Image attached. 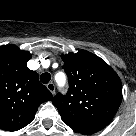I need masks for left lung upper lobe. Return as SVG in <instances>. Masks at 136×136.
Masks as SVG:
<instances>
[{
	"mask_svg": "<svg viewBox=\"0 0 136 136\" xmlns=\"http://www.w3.org/2000/svg\"><path fill=\"white\" fill-rule=\"evenodd\" d=\"M62 60L70 88L52 100L62 120L75 131L103 128L121 104L120 78L104 60L86 50L62 55Z\"/></svg>",
	"mask_w": 136,
	"mask_h": 136,
	"instance_id": "obj_1",
	"label": "left lung upper lobe"
}]
</instances>
